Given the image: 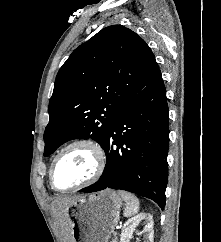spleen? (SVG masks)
Returning a JSON list of instances; mask_svg holds the SVG:
<instances>
[{
  "label": "spleen",
  "mask_w": 221,
  "mask_h": 242,
  "mask_svg": "<svg viewBox=\"0 0 221 242\" xmlns=\"http://www.w3.org/2000/svg\"><path fill=\"white\" fill-rule=\"evenodd\" d=\"M120 196L125 201V210H124V216L130 217L139 211V200L138 198L126 191H119Z\"/></svg>",
  "instance_id": "1"
}]
</instances>
